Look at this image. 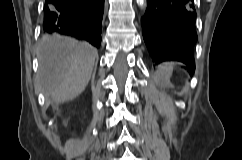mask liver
Here are the masks:
<instances>
[{
  "label": "liver",
  "mask_w": 242,
  "mask_h": 160,
  "mask_svg": "<svg viewBox=\"0 0 242 160\" xmlns=\"http://www.w3.org/2000/svg\"><path fill=\"white\" fill-rule=\"evenodd\" d=\"M97 50L69 37L45 38L38 47L37 85L56 103L79 96L89 83Z\"/></svg>",
  "instance_id": "6515ba94"
}]
</instances>
